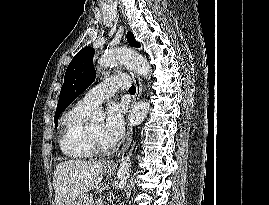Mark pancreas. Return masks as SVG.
Segmentation results:
<instances>
[{
	"label": "pancreas",
	"mask_w": 269,
	"mask_h": 205,
	"mask_svg": "<svg viewBox=\"0 0 269 205\" xmlns=\"http://www.w3.org/2000/svg\"><path fill=\"white\" fill-rule=\"evenodd\" d=\"M100 199H96V202H95V204L94 205H102L101 203H100Z\"/></svg>",
	"instance_id": "pancreas-1"
}]
</instances>
